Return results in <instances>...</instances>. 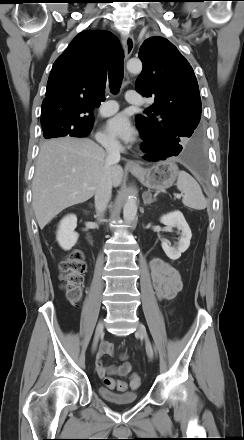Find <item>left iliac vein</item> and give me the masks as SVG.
Instances as JSON below:
<instances>
[{"label":"left iliac vein","mask_w":244,"mask_h":440,"mask_svg":"<svg viewBox=\"0 0 244 440\" xmlns=\"http://www.w3.org/2000/svg\"><path fill=\"white\" fill-rule=\"evenodd\" d=\"M137 334H139L141 336V338L144 339L147 355L150 359H152L153 358L152 345H151L150 340L148 338L146 328L142 323L138 324Z\"/></svg>","instance_id":"obj_1"}]
</instances>
